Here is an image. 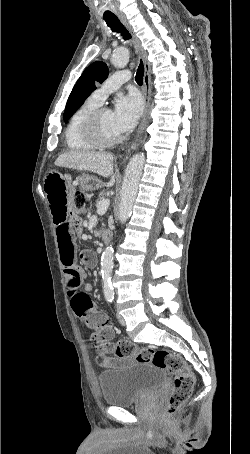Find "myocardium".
<instances>
[{
  "instance_id": "obj_1",
  "label": "myocardium",
  "mask_w": 250,
  "mask_h": 454,
  "mask_svg": "<svg viewBox=\"0 0 250 454\" xmlns=\"http://www.w3.org/2000/svg\"><path fill=\"white\" fill-rule=\"evenodd\" d=\"M107 109L99 107L94 110L85 120L84 133L86 138L96 147H111L120 143L123 139L122 135L116 137H108L104 134L101 126V118Z\"/></svg>"
}]
</instances>
